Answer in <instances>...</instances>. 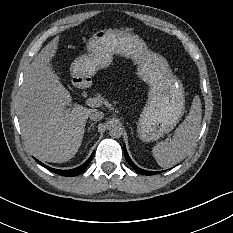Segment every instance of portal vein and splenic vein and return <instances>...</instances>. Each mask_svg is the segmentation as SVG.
Instances as JSON below:
<instances>
[{
    "instance_id": "obj_1",
    "label": "portal vein and splenic vein",
    "mask_w": 233,
    "mask_h": 233,
    "mask_svg": "<svg viewBox=\"0 0 233 233\" xmlns=\"http://www.w3.org/2000/svg\"><path fill=\"white\" fill-rule=\"evenodd\" d=\"M89 106L97 108L100 107L103 103V98H98V97H94V98H89L87 99Z\"/></svg>"
}]
</instances>
